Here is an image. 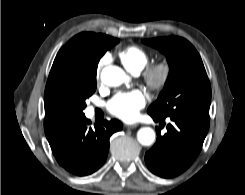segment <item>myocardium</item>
Here are the masks:
<instances>
[{"label": "myocardium", "instance_id": "obj_1", "mask_svg": "<svg viewBox=\"0 0 245 195\" xmlns=\"http://www.w3.org/2000/svg\"><path fill=\"white\" fill-rule=\"evenodd\" d=\"M173 68L168 60H162L145 68L143 81L153 91H162L172 77Z\"/></svg>", "mask_w": 245, "mask_h": 195}]
</instances>
